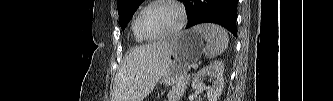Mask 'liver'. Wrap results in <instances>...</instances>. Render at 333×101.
<instances>
[{"label": "liver", "mask_w": 333, "mask_h": 101, "mask_svg": "<svg viewBox=\"0 0 333 101\" xmlns=\"http://www.w3.org/2000/svg\"><path fill=\"white\" fill-rule=\"evenodd\" d=\"M169 55V40L134 48L115 76L112 101H142L164 75Z\"/></svg>", "instance_id": "liver-1"}]
</instances>
